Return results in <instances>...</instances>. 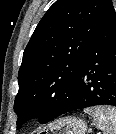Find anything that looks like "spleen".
<instances>
[{
    "instance_id": "obj_1",
    "label": "spleen",
    "mask_w": 116,
    "mask_h": 134,
    "mask_svg": "<svg viewBox=\"0 0 116 134\" xmlns=\"http://www.w3.org/2000/svg\"><path fill=\"white\" fill-rule=\"evenodd\" d=\"M84 111L93 117L96 126L103 131V134H116V108L96 106L86 108Z\"/></svg>"
}]
</instances>
